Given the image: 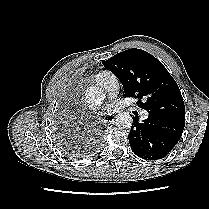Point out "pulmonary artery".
Listing matches in <instances>:
<instances>
[{
  "instance_id": "e3ab8cb5",
  "label": "pulmonary artery",
  "mask_w": 209,
  "mask_h": 209,
  "mask_svg": "<svg viewBox=\"0 0 209 209\" xmlns=\"http://www.w3.org/2000/svg\"><path fill=\"white\" fill-rule=\"evenodd\" d=\"M96 82L107 92L110 97H114L119 90L118 79L111 72L104 71L99 73L96 76ZM141 115L144 119L148 117L147 111H142Z\"/></svg>"
}]
</instances>
